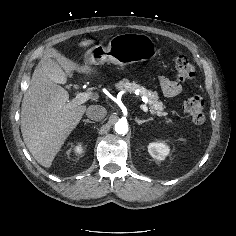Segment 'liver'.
Returning a JSON list of instances; mask_svg holds the SVG:
<instances>
[{
	"mask_svg": "<svg viewBox=\"0 0 236 236\" xmlns=\"http://www.w3.org/2000/svg\"><path fill=\"white\" fill-rule=\"evenodd\" d=\"M93 42L84 40L78 46L88 47ZM48 60L59 63L69 77L74 71L87 75L96 73L93 65L85 62L79 65L54 48L46 50L36 66L22 100L21 132L30 153L45 168L52 165L56 154L86 111V105H72L68 92L49 78ZM97 98L98 94H95L92 99Z\"/></svg>",
	"mask_w": 236,
	"mask_h": 236,
	"instance_id": "1",
	"label": "liver"
}]
</instances>
